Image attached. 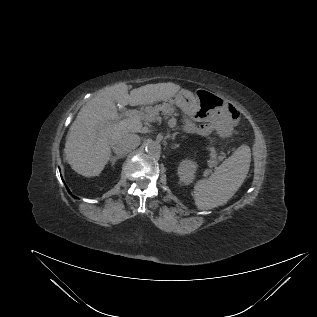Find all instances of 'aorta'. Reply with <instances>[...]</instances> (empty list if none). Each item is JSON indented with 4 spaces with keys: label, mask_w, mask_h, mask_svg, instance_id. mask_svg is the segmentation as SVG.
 <instances>
[{
    "label": "aorta",
    "mask_w": 317,
    "mask_h": 317,
    "mask_svg": "<svg viewBox=\"0 0 317 317\" xmlns=\"http://www.w3.org/2000/svg\"><path fill=\"white\" fill-rule=\"evenodd\" d=\"M144 147H145L146 153L151 156L157 157L161 153V144L159 141L151 140V139L147 140L145 142Z\"/></svg>",
    "instance_id": "1"
}]
</instances>
